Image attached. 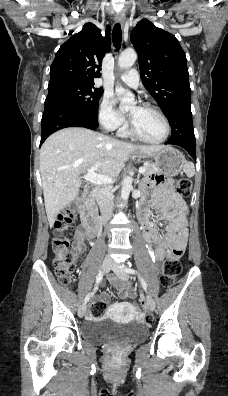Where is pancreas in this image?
Segmentation results:
<instances>
[{"label": "pancreas", "mask_w": 228, "mask_h": 396, "mask_svg": "<svg viewBox=\"0 0 228 396\" xmlns=\"http://www.w3.org/2000/svg\"><path fill=\"white\" fill-rule=\"evenodd\" d=\"M144 167L146 169V171L144 172V176H150L159 172L157 166L153 163H146Z\"/></svg>", "instance_id": "pancreas-1"}]
</instances>
